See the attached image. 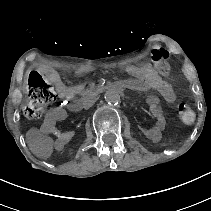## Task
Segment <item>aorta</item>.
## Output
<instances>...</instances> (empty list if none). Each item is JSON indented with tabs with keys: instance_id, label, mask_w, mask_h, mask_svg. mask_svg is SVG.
Wrapping results in <instances>:
<instances>
[{
	"instance_id": "1",
	"label": "aorta",
	"mask_w": 211,
	"mask_h": 211,
	"mask_svg": "<svg viewBox=\"0 0 211 211\" xmlns=\"http://www.w3.org/2000/svg\"><path fill=\"white\" fill-rule=\"evenodd\" d=\"M105 100L108 104L116 105L120 103V94L116 90H108L105 93Z\"/></svg>"
}]
</instances>
